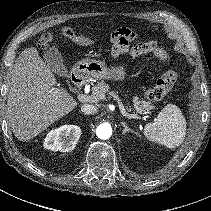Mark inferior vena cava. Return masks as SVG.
<instances>
[{
    "label": "inferior vena cava",
    "mask_w": 211,
    "mask_h": 211,
    "mask_svg": "<svg viewBox=\"0 0 211 211\" xmlns=\"http://www.w3.org/2000/svg\"><path fill=\"white\" fill-rule=\"evenodd\" d=\"M81 111L84 114H95L98 112V108L95 107L94 105H90V104H84L81 106Z\"/></svg>",
    "instance_id": "inferior-vena-cava-1"
}]
</instances>
